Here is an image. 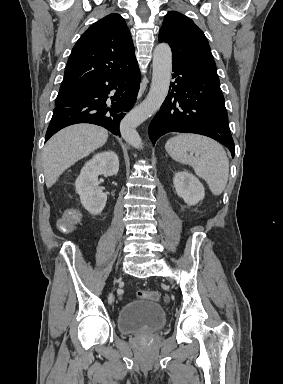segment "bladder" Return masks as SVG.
<instances>
[{"label": "bladder", "mask_w": 283, "mask_h": 384, "mask_svg": "<svg viewBox=\"0 0 283 384\" xmlns=\"http://www.w3.org/2000/svg\"><path fill=\"white\" fill-rule=\"evenodd\" d=\"M166 313L160 302L143 300L122 305L117 313V329L125 334L155 332L164 327Z\"/></svg>", "instance_id": "obj_1"}]
</instances>
